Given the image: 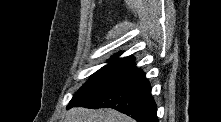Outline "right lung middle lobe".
Instances as JSON below:
<instances>
[{
  "label": "right lung middle lobe",
  "instance_id": "right-lung-middle-lobe-1",
  "mask_svg": "<svg viewBox=\"0 0 221 122\" xmlns=\"http://www.w3.org/2000/svg\"><path fill=\"white\" fill-rule=\"evenodd\" d=\"M136 68L133 60H114L95 72L77 91L69 105L96 95L128 76Z\"/></svg>",
  "mask_w": 221,
  "mask_h": 122
}]
</instances>
